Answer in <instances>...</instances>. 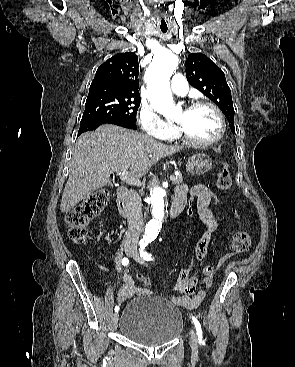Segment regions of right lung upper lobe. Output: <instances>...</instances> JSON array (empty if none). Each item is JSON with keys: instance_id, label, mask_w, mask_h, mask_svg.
<instances>
[{"instance_id": "right-lung-upper-lobe-1", "label": "right lung upper lobe", "mask_w": 295, "mask_h": 367, "mask_svg": "<svg viewBox=\"0 0 295 367\" xmlns=\"http://www.w3.org/2000/svg\"><path fill=\"white\" fill-rule=\"evenodd\" d=\"M93 91L140 97L138 56L132 52H126L108 59L96 71L89 92Z\"/></svg>"}]
</instances>
